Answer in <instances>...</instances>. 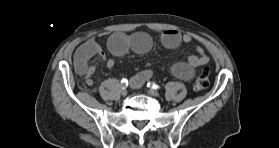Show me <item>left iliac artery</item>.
<instances>
[{"instance_id": "obj_1", "label": "left iliac artery", "mask_w": 279, "mask_h": 148, "mask_svg": "<svg viewBox=\"0 0 279 148\" xmlns=\"http://www.w3.org/2000/svg\"><path fill=\"white\" fill-rule=\"evenodd\" d=\"M147 87L154 89V90L160 89V86L154 82H148Z\"/></svg>"}]
</instances>
